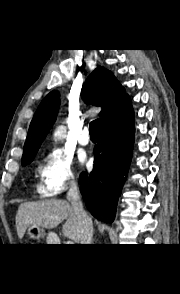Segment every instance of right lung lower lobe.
<instances>
[{
	"mask_svg": "<svg viewBox=\"0 0 180 294\" xmlns=\"http://www.w3.org/2000/svg\"><path fill=\"white\" fill-rule=\"evenodd\" d=\"M134 111L129 99L100 122L94 169L80 175L81 193L97 219L111 223L134 144Z\"/></svg>",
	"mask_w": 180,
	"mask_h": 294,
	"instance_id": "1",
	"label": "right lung lower lobe"
}]
</instances>
